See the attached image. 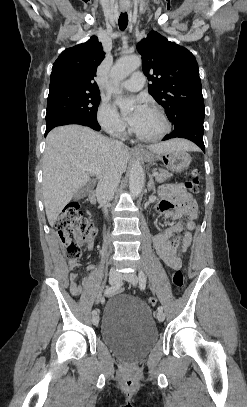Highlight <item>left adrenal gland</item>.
Returning a JSON list of instances; mask_svg holds the SVG:
<instances>
[{
    "label": "left adrenal gland",
    "instance_id": "a2214340",
    "mask_svg": "<svg viewBox=\"0 0 247 407\" xmlns=\"http://www.w3.org/2000/svg\"><path fill=\"white\" fill-rule=\"evenodd\" d=\"M147 189H148V191H151V190H153V192L156 191L155 183H154L153 178H152V176L150 174H149V181H148V184H147Z\"/></svg>",
    "mask_w": 247,
    "mask_h": 407
}]
</instances>
